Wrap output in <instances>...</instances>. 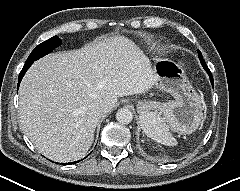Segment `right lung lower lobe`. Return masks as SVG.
Here are the masks:
<instances>
[{"label":"right lung lower lobe","instance_id":"right-lung-lower-lobe-1","mask_svg":"<svg viewBox=\"0 0 240 191\" xmlns=\"http://www.w3.org/2000/svg\"><path fill=\"white\" fill-rule=\"evenodd\" d=\"M31 64H32V63H25L23 69L21 70V72H20V74H19L18 86H17V87H19V84H20V82H21L22 77L24 76V74H25V72L28 70V68L31 66ZM77 162H79V161H76V162H73V163H62V164H68V165H70V164H74V163H77Z\"/></svg>","mask_w":240,"mask_h":191}]
</instances>
